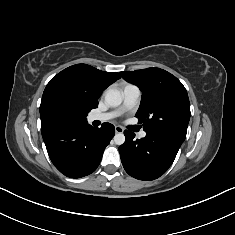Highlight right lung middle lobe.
Masks as SVG:
<instances>
[{
	"mask_svg": "<svg viewBox=\"0 0 235 235\" xmlns=\"http://www.w3.org/2000/svg\"><path fill=\"white\" fill-rule=\"evenodd\" d=\"M88 111L61 89L43 93L40 105L41 128L85 122Z\"/></svg>",
	"mask_w": 235,
	"mask_h": 235,
	"instance_id": "right-lung-middle-lobe-1",
	"label": "right lung middle lobe"
}]
</instances>
